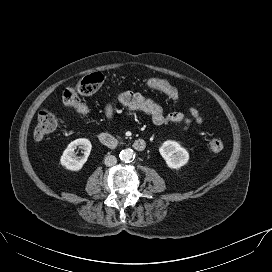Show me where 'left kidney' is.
Returning <instances> with one entry per match:
<instances>
[{
	"mask_svg": "<svg viewBox=\"0 0 272 272\" xmlns=\"http://www.w3.org/2000/svg\"><path fill=\"white\" fill-rule=\"evenodd\" d=\"M161 156L166 161V164L171 169H179L186 165L189 160L188 151L178 142L167 140L159 148Z\"/></svg>",
	"mask_w": 272,
	"mask_h": 272,
	"instance_id": "1",
	"label": "left kidney"
}]
</instances>
